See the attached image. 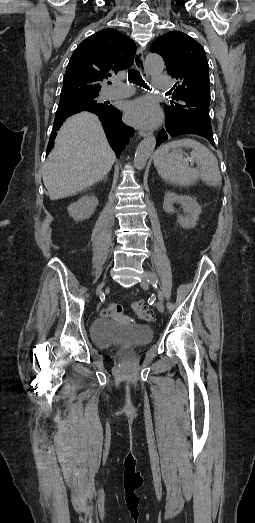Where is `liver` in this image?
Here are the masks:
<instances>
[{
    "label": "liver",
    "instance_id": "6515ba94",
    "mask_svg": "<svg viewBox=\"0 0 255 523\" xmlns=\"http://www.w3.org/2000/svg\"><path fill=\"white\" fill-rule=\"evenodd\" d=\"M115 154L95 114L82 112L61 126L55 146L42 166L50 200L72 196L110 172Z\"/></svg>",
    "mask_w": 255,
    "mask_h": 523
}]
</instances>
